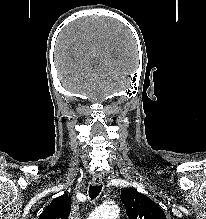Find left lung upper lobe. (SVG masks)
<instances>
[{
	"label": "left lung upper lobe",
	"instance_id": "5c2ea615",
	"mask_svg": "<svg viewBox=\"0 0 206 219\" xmlns=\"http://www.w3.org/2000/svg\"><path fill=\"white\" fill-rule=\"evenodd\" d=\"M120 198L129 219H166L164 211L154 201L136 190H121Z\"/></svg>",
	"mask_w": 206,
	"mask_h": 219
}]
</instances>
